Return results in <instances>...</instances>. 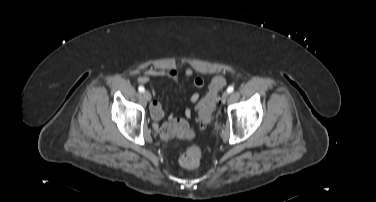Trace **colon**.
Here are the masks:
<instances>
[{
    "label": "colon",
    "instance_id": "1",
    "mask_svg": "<svg viewBox=\"0 0 376 202\" xmlns=\"http://www.w3.org/2000/svg\"><path fill=\"white\" fill-rule=\"evenodd\" d=\"M226 85V79L223 76H217L212 79L209 84L206 96L199 102L197 106L198 120L200 127L209 124L212 112L218 102L219 92ZM188 134V127L185 122L169 123L161 128V135L165 139L175 136H185ZM201 150L197 146H191L181 156L180 163L186 168H196L200 164Z\"/></svg>",
    "mask_w": 376,
    "mask_h": 202
}]
</instances>
